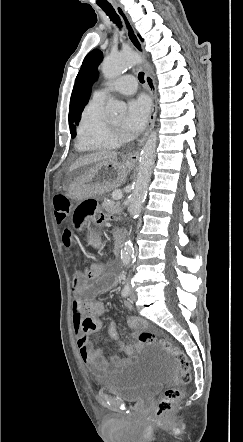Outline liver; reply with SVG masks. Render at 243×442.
I'll use <instances>...</instances> for the list:
<instances>
[{
	"instance_id": "1",
	"label": "liver",
	"mask_w": 243,
	"mask_h": 442,
	"mask_svg": "<svg viewBox=\"0 0 243 442\" xmlns=\"http://www.w3.org/2000/svg\"><path fill=\"white\" fill-rule=\"evenodd\" d=\"M117 153L112 151H100L96 153H92L86 156H83L77 159L69 168V171H73L82 166H86L92 163L107 161V160H116Z\"/></svg>"
}]
</instances>
